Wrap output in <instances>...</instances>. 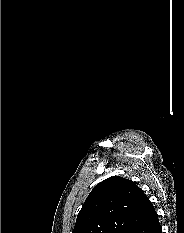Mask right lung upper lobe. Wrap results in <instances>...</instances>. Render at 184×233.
Segmentation results:
<instances>
[{
	"label": "right lung upper lobe",
	"mask_w": 184,
	"mask_h": 233,
	"mask_svg": "<svg viewBox=\"0 0 184 233\" xmlns=\"http://www.w3.org/2000/svg\"><path fill=\"white\" fill-rule=\"evenodd\" d=\"M154 211L134 182L113 176L92 189L72 233H130Z\"/></svg>",
	"instance_id": "1"
}]
</instances>
